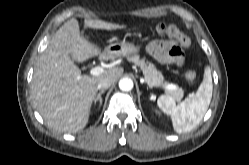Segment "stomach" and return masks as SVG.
<instances>
[{"label":"stomach","mask_w":249,"mask_h":165,"mask_svg":"<svg viewBox=\"0 0 249 165\" xmlns=\"http://www.w3.org/2000/svg\"><path fill=\"white\" fill-rule=\"evenodd\" d=\"M141 49V46L133 42H119L109 45L104 54L107 57L119 56H133L136 55Z\"/></svg>","instance_id":"obj_1"}]
</instances>
